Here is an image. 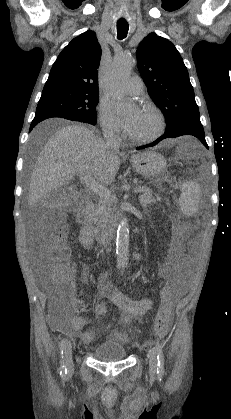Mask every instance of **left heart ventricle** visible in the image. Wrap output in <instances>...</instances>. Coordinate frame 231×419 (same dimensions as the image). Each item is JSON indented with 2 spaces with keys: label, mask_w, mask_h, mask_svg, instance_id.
<instances>
[{
  "label": "left heart ventricle",
  "mask_w": 231,
  "mask_h": 419,
  "mask_svg": "<svg viewBox=\"0 0 231 419\" xmlns=\"http://www.w3.org/2000/svg\"><path fill=\"white\" fill-rule=\"evenodd\" d=\"M135 112H137V115L129 132L137 137H147L154 134L158 129V120L155 114L148 110H138L131 112L128 117Z\"/></svg>",
  "instance_id": "left-heart-ventricle-1"
}]
</instances>
